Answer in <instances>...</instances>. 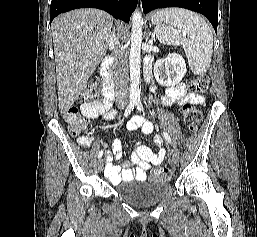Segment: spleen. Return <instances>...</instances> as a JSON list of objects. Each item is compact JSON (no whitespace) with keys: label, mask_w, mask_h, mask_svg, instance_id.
Returning a JSON list of instances; mask_svg holds the SVG:
<instances>
[{"label":"spleen","mask_w":257,"mask_h":237,"mask_svg":"<svg viewBox=\"0 0 257 237\" xmlns=\"http://www.w3.org/2000/svg\"><path fill=\"white\" fill-rule=\"evenodd\" d=\"M154 33L163 44L182 45L189 67L196 75L209 69L213 52V34L198 14L180 8L157 11L152 16Z\"/></svg>","instance_id":"spleen-1"}]
</instances>
